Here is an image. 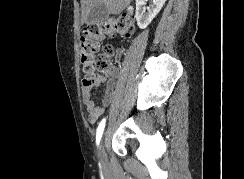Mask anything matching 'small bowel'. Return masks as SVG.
<instances>
[{"instance_id": "small-bowel-1", "label": "small bowel", "mask_w": 244, "mask_h": 179, "mask_svg": "<svg viewBox=\"0 0 244 179\" xmlns=\"http://www.w3.org/2000/svg\"><path fill=\"white\" fill-rule=\"evenodd\" d=\"M118 69L110 68L106 73L105 83L106 88L104 95L99 104H96L93 98V88H85L82 91V101L88 112V120L90 123H95L104 113L106 107L113 101L115 92V79L118 76Z\"/></svg>"}]
</instances>
